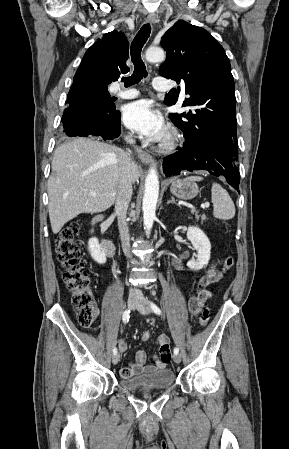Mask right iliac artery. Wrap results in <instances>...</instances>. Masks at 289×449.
<instances>
[{"label":"right iliac artery","mask_w":289,"mask_h":449,"mask_svg":"<svg viewBox=\"0 0 289 449\" xmlns=\"http://www.w3.org/2000/svg\"><path fill=\"white\" fill-rule=\"evenodd\" d=\"M129 318H130V309H126L124 311V313H123L122 320H123L124 323H127L129 321ZM113 354L114 355L117 354V348L116 347L113 348Z\"/></svg>","instance_id":"obj_1"}]
</instances>
